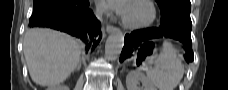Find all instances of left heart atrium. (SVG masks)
<instances>
[{
  "mask_svg": "<svg viewBox=\"0 0 228 90\" xmlns=\"http://www.w3.org/2000/svg\"><path fill=\"white\" fill-rule=\"evenodd\" d=\"M126 4L123 5H119V4H115L114 7L116 8V10L118 11L119 14H121L123 16L125 9H126Z\"/></svg>",
  "mask_w": 228,
  "mask_h": 90,
  "instance_id": "1",
  "label": "left heart atrium"
}]
</instances>
